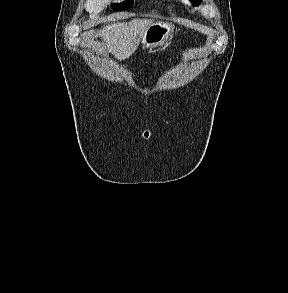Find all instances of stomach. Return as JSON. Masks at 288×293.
I'll return each mask as SVG.
<instances>
[{
  "label": "stomach",
  "instance_id": "1",
  "mask_svg": "<svg viewBox=\"0 0 288 293\" xmlns=\"http://www.w3.org/2000/svg\"><path fill=\"white\" fill-rule=\"evenodd\" d=\"M173 33V25L164 21H156L150 25L141 39L143 48L164 47Z\"/></svg>",
  "mask_w": 288,
  "mask_h": 293
}]
</instances>
